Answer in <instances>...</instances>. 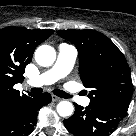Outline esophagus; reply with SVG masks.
<instances>
[{"mask_svg":"<svg viewBox=\"0 0 136 136\" xmlns=\"http://www.w3.org/2000/svg\"><path fill=\"white\" fill-rule=\"evenodd\" d=\"M51 97H52V101H54V102H59L62 100L60 97H58L56 95H52Z\"/></svg>","mask_w":136,"mask_h":136,"instance_id":"34e87169","label":"esophagus"}]
</instances>
